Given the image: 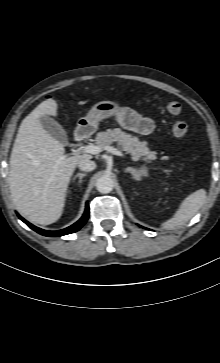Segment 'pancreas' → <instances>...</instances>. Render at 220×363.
I'll list each match as a JSON object with an SVG mask.
<instances>
[{
	"mask_svg": "<svg viewBox=\"0 0 220 363\" xmlns=\"http://www.w3.org/2000/svg\"><path fill=\"white\" fill-rule=\"evenodd\" d=\"M95 142L99 146H110L114 142L118 148L129 153L133 160H143L150 163L156 159V152L147 147L146 141H140L136 136L122 131L120 128L108 129L97 133Z\"/></svg>",
	"mask_w": 220,
	"mask_h": 363,
	"instance_id": "pancreas-1",
	"label": "pancreas"
}]
</instances>
